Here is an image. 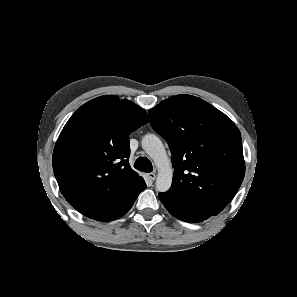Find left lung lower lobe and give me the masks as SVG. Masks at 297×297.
Returning a JSON list of instances; mask_svg holds the SVG:
<instances>
[{
  "label": "left lung lower lobe",
  "mask_w": 297,
  "mask_h": 297,
  "mask_svg": "<svg viewBox=\"0 0 297 297\" xmlns=\"http://www.w3.org/2000/svg\"><path fill=\"white\" fill-rule=\"evenodd\" d=\"M159 199L173 216L182 221L194 223L205 220L181 208L168 194H166V192L160 193Z\"/></svg>",
  "instance_id": "left-lung-lower-lobe-1"
}]
</instances>
